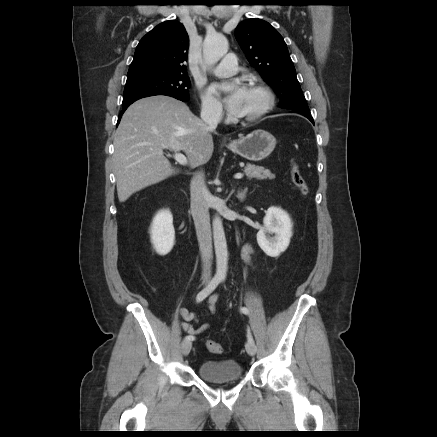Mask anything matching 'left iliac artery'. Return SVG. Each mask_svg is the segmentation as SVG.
<instances>
[{
    "instance_id": "obj_1",
    "label": "left iliac artery",
    "mask_w": 437,
    "mask_h": 437,
    "mask_svg": "<svg viewBox=\"0 0 437 437\" xmlns=\"http://www.w3.org/2000/svg\"><path fill=\"white\" fill-rule=\"evenodd\" d=\"M240 310H241V312H243L244 314H248V313H249V310H248L246 307H242ZM248 339H249L250 341L253 342V338H252V335H251L250 332L248 333Z\"/></svg>"
}]
</instances>
